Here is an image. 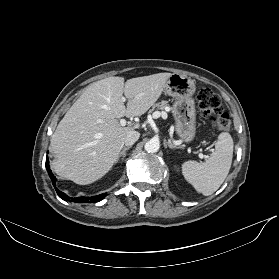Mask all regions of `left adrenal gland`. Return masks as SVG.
Segmentation results:
<instances>
[{
  "label": "left adrenal gland",
  "instance_id": "left-adrenal-gland-1",
  "mask_svg": "<svg viewBox=\"0 0 279 279\" xmlns=\"http://www.w3.org/2000/svg\"><path fill=\"white\" fill-rule=\"evenodd\" d=\"M167 145L170 149H180V147L173 145L170 140L167 142Z\"/></svg>",
  "mask_w": 279,
  "mask_h": 279
}]
</instances>
